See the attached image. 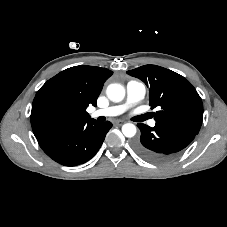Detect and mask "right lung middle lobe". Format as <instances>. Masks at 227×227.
Masks as SVG:
<instances>
[{"label":"right lung middle lobe","mask_w":227,"mask_h":227,"mask_svg":"<svg viewBox=\"0 0 227 227\" xmlns=\"http://www.w3.org/2000/svg\"><path fill=\"white\" fill-rule=\"evenodd\" d=\"M64 110L54 102H46L41 110L40 115L43 121L47 123H56L62 120Z\"/></svg>","instance_id":"1"}]
</instances>
